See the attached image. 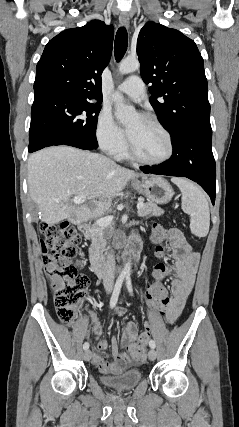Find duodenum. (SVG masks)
I'll use <instances>...</instances> for the list:
<instances>
[{
	"label": "duodenum",
	"instance_id": "1",
	"mask_svg": "<svg viewBox=\"0 0 239 427\" xmlns=\"http://www.w3.org/2000/svg\"><path fill=\"white\" fill-rule=\"evenodd\" d=\"M80 230L87 239L91 238V229L88 226H82L80 227ZM139 251H140V244L134 243V246L129 254L130 258L136 261L138 259ZM89 262H90L91 270L98 277L106 278L108 276V273H109L108 268L105 265L98 250L94 246H91L89 249Z\"/></svg>",
	"mask_w": 239,
	"mask_h": 427
}]
</instances>
